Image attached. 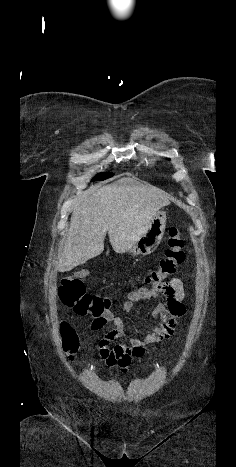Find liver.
Masks as SVG:
<instances>
[{
  "mask_svg": "<svg viewBox=\"0 0 236 467\" xmlns=\"http://www.w3.org/2000/svg\"><path fill=\"white\" fill-rule=\"evenodd\" d=\"M169 204L165 192L131 178L84 193L73 206L56 269L67 272L100 255L107 232L116 253L128 252L159 209Z\"/></svg>",
  "mask_w": 236,
  "mask_h": 467,
  "instance_id": "liver-1",
  "label": "liver"
}]
</instances>
